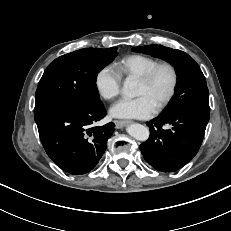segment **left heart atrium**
<instances>
[{
  "instance_id": "1",
  "label": "left heart atrium",
  "mask_w": 231,
  "mask_h": 231,
  "mask_svg": "<svg viewBox=\"0 0 231 231\" xmlns=\"http://www.w3.org/2000/svg\"><path fill=\"white\" fill-rule=\"evenodd\" d=\"M155 111V105L146 95H139L135 98H122L110 109L113 117L125 119L149 118Z\"/></svg>"
}]
</instances>
